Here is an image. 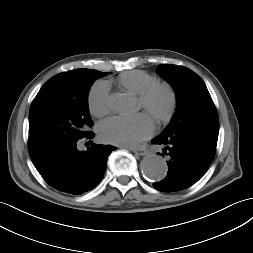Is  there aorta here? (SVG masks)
Instances as JSON below:
<instances>
[{
    "mask_svg": "<svg viewBox=\"0 0 253 253\" xmlns=\"http://www.w3.org/2000/svg\"><path fill=\"white\" fill-rule=\"evenodd\" d=\"M110 107L120 113L131 110L133 101L123 93H114L110 96ZM141 170L143 175L151 181H161L167 175V164L164 159L156 154L145 156L141 162Z\"/></svg>",
    "mask_w": 253,
    "mask_h": 253,
    "instance_id": "762f6f07",
    "label": "aorta"
}]
</instances>
